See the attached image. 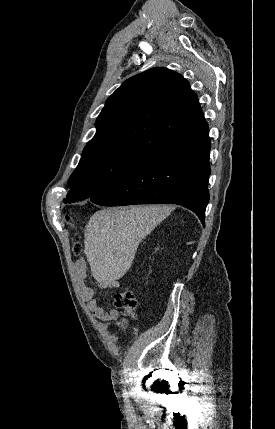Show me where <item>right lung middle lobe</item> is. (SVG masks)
<instances>
[{
  "label": "right lung middle lobe",
  "mask_w": 275,
  "mask_h": 429,
  "mask_svg": "<svg viewBox=\"0 0 275 429\" xmlns=\"http://www.w3.org/2000/svg\"><path fill=\"white\" fill-rule=\"evenodd\" d=\"M150 155L125 148L111 147L80 159L72 173L65 202H77L102 194L134 172Z\"/></svg>",
  "instance_id": "obj_1"
}]
</instances>
